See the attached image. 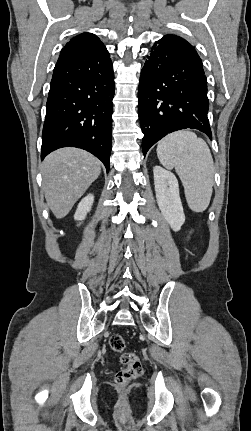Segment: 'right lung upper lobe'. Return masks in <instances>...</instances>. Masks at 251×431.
Segmentation results:
<instances>
[{
  "label": "right lung upper lobe",
  "instance_id": "cb5924a9",
  "mask_svg": "<svg viewBox=\"0 0 251 431\" xmlns=\"http://www.w3.org/2000/svg\"><path fill=\"white\" fill-rule=\"evenodd\" d=\"M96 47L97 49L104 48V44L100 39L91 33H82L72 38L62 49V52L77 51L83 48Z\"/></svg>",
  "mask_w": 251,
  "mask_h": 431
}]
</instances>
